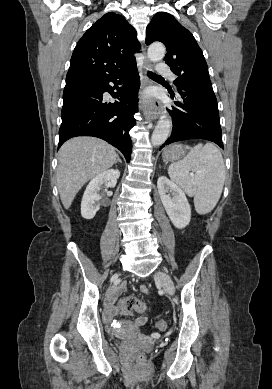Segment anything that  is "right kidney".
<instances>
[{
  "label": "right kidney",
  "instance_id": "1",
  "mask_svg": "<svg viewBox=\"0 0 272 389\" xmlns=\"http://www.w3.org/2000/svg\"><path fill=\"white\" fill-rule=\"evenodd\" d=\"M119 177L120 172L117 169H110L95 176L89 182L81 202V215L83 218L90 220L95 217L96 212L100 208V204H98L101 199L98 194L100 186L104 183H109L112 187H114Z\"/></svg>",
  "mask_w": 272,
  "mask_h": 389
}]
</instances>
